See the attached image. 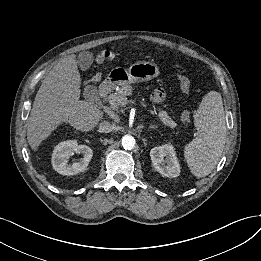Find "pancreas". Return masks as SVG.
I'll return each mask as SVG.
<instances>
[{"label": "pancreas", "mask_w": 261, "mask_h": 261, "mask_svg": "<svg viewBox=\"0 0 261 261\" xmlns=\"http://www.w3.org/2000/svg\"><path fill=\"white\" fill-rule=\"evenodd\" d=\"M133 88L130 85H122L114 93H111L107 99L112 109L118 110L119 106H123V102L127 100V96L132 95ZM158 111V113H157ZM155 114L158 116L163 125L170 128L177 126L176 122L169 116L167 111L158 109Z\"/></svg>", "instance_id": "1"}]
</instances>
